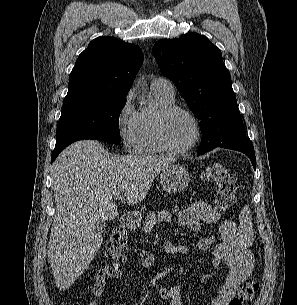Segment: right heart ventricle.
Instances as JSON below:
<instances>
[{
	"label": "right heart ventricle",
	"mask_w": 297,
	"mask_h": 305,
	"mask_svg": "<svg viewBox=\"0 0 297 305\" xmlns=\"http://www.w3.org/2000/svg\"><path fill=\"white\" fill-rule=\"evenodd\" d=\"M159 108L173 105L174 98H168L160 92L153 91ZM156 113H148L142 111L139 113V130L135 140L134 150L141 154H156L160 150L156 147L153 141V119Z\"/></svg>",
	"instance_id": "1"
}]
</instances>
